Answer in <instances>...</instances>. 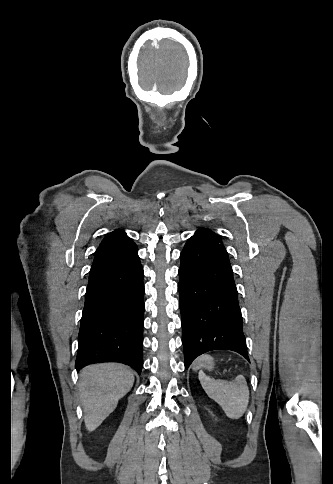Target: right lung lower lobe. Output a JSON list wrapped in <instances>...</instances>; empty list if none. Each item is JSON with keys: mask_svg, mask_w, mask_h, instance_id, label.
<instances>
[{"mask_svg": "<svg viewBox=\"0 0 333 484\" xmlns=\"http://www.w3.org/2000/svg\"><path fill=\"white\" fill-rule=\"evenodd\" d=\"M143 268L137 246L96 254L85 295L75 367L117 361L143 365Z\"/></svg>", "mask_w": 333, "mask_h": 484, "instance_id": "right-lung-lower-lobe-1", "label": "right lung lower lobe"}]
</instances>
